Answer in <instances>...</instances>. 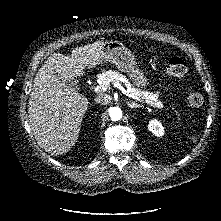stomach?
Wrapping results in <instances>:
<instances>
[{"label": "stomach", "mask_w": 221, "mask_h": 221, "mask_svg": "<svg viewBox=\"0 0 221 221\" xmlns=\"http://www.w3.org/2000/svg\"><path fill=\"white\" fill-rule=\"evenodd\" d=\"M109 62L128 75L135 86L146 88L147 77L137 66L133 53L120 41H109L104 44L101 54V64Z\"/></svg>", "instance_id": "stomach-1"}]
</instances>
